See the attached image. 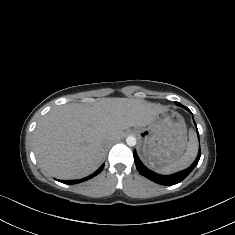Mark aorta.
<instances>
[{
  "mask_svg": "<svg viewBox=\"0 0 235 235\" xmlns=\"http://www.w3.org/2000/svg\"><path fill=\"white\" fill-rule=\"evenodd\" d=\"M126 143H127V145L128 146H135L136 145V138L135 137H133V136H129V137H127V139H126Z\"/></svg>",
  "mask_w": 235,
  "mask_h": 235,
  "instance_id": "aorta-1",
  "label": "aorta"
}]
</instances>
